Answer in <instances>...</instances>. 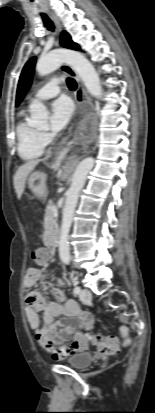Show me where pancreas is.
I'll list each match as a JSON object with an SVG mask.
<instances>
[{"instance_id": "1", "label": "pancreas", "mask_w": 155, "mask_h": 413, "mask_svg": "<svg viewBox=\"0 0 155 413\" xmlns=\"http://www.w3.org/2000/svg\"><path fill=\"white\" fill-rule=\"evenodd\" d=\"M46 212H47V218H48L47 223L50 226H54V224H55V214H54L53 202L51 200L48 202Z\"/></svg>"}]
</instances>
